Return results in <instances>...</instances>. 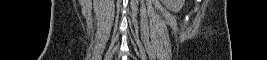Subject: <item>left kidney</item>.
Returning a JSON list of instances; mask_svg holds the SVG:
<instances>
[{
  "label": "left kidney",
  "instance_id": "5707ae66",
  "mask_svg": "<svg viewBox=\"0 0 267 60\" xmlns=\"http://www.w3.org/2000/svg\"><path fill=\"white\" fill-rule=\"evenodd\" d=\"M161 1L166 6L167 9L175 13L179 12L184 4V0H161Z\"/></svg>",
  "mask_w": 267,
  "mask_h": 60
}]
</instances>
